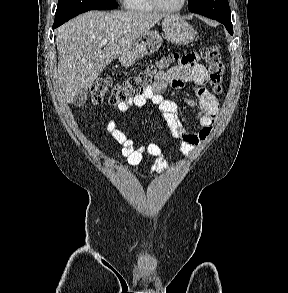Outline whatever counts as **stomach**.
I'll return each instance as SVG.
<instances>
[{
  "label": "stomach",
  "mask_w": 288,
  "mask_h": 293,
  "mask_svg": "<svg viewBox=\"0 0 288 293\" xmlns=\"http://www.w3.org/2000/svg\"><path fill=\"white\" fill-rule=\"evenodd\" d=\"M162 29L165 37L176 44H188L195 38L193 27L182 18L174 15L164 17ZM163 39L156 30H149L140 36L133 46L119 56L122 66L129 67L145 55H151L158 51Z\"/></svg>",
  "instance_id": "1"
}]
</instances>
